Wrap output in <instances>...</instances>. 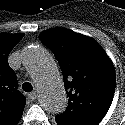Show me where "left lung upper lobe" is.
<instances>
[{"instance_id":"5c2ea615","label":"left lung upper lobe","mask_w":125,"mask_h":125,"mask_svg":"<svg viewBox=\"0 0 125 125\" xmlns=\"http://www.w3.org/2000/svg\"><path fill=\"white\" fill-rule=\"evenodd\" d=\"M57 59L64 79L68 106L56 120L68 125H98L115 92L113 63L92 38L65 28L39 34Z\"/></svg>"}]
</instances>
